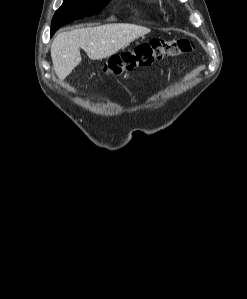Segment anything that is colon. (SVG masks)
Returning <instances> with one entry per match:
<instances>
[{
    "instance_id": "obj_1",
    "label": "colon",
    "mask_w": 247,
    "mask_h": 299,
    "mask_svg": "<svg viewBox=\"0 0 247 299\" xmlns=\"http://www.w3.org/2000/svg\"><path fill=\"white\" fill-rule=\"evenodd\" d=\"M194 49V42L188 38L151 39L131 51L110 57L104 64V71L109 74L119 75L137 67L149 66L164 58L190 53Z\"/></svg>"
}]
</instances>
